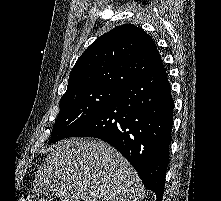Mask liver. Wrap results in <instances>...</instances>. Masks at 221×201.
I'll list each match as a JSON object with an SVG mask.
<instances>
[{
  "instance_id": "liver-1",
  "label": "liver",
  "mask_w": 221,
  "mask_h": 201,
  "mask_svg": "<svg viewBox=\"0 0 221 201\" xmlns=\"http://www.w3.org/2000/svg\"><path fill=\"white\" fill-rule=\"evenodd\" d=\"M53 189L61 201H142L144 186L131 164L101 140L74 138L51 148L33 190Z\"/></svg>"
}]
</instances>
